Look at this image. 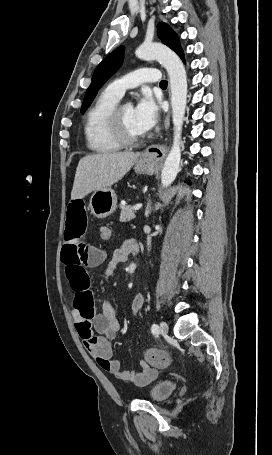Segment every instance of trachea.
<instances>
[{
	"mask_svg": "<svg viewBox=\"0 0 272 455\" xmlns=\"http://www.w3.org/2000/svg\"><path fill=\"white\" fill-rule=\"evenodd\" d=\"M160 87H167V81L162 80L159 84Z\"/></svg>",
	"mask_w": 272,
	"mask_h": 455,
	"instance_id": "1",
	"label": "trachea"
}]
</instances>
